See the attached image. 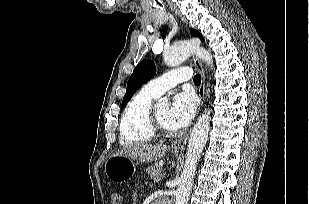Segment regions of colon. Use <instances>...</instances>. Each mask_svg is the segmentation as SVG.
<instances>
[{
  "label": "colon",
  "mask_w": 309,
  "mask_h": 204,
  "mask_svg": "<svg viewBox=\"0 0 309 204\" xmlns=\"http://www.w3.org/2000/svg\"><path fill=\"white\" fill-rule=\"evenodd\" d=\"M111 199H112V204H121L122 202V197L119 192H113Z\"/></svg>",
  "instance_id": "obj_1"
}]
</instances>
